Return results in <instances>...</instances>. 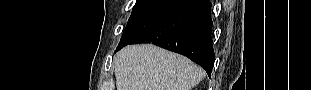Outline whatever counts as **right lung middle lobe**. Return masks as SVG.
<instances>
[{"label": "right lung middle lobe", "instance_id": "obj_1", "mask_svg": "<svg viewBox=\"0 0 311 90\" xmlns=\"http://www.w3.org/2000/svg\"><path fill=\"white\" fill-rule=\"evenodd\" d=\"M191 0H137L118 46L135 41L163 24Z\"/></svg>", "mask_w": 311, "mask_h": 90}]
</instances>
